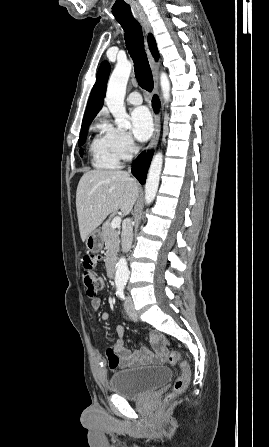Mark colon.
<instances>
[{"mask_svg": "<svg viewBox=\"0 0 269 447\" xmlns=\"http://www.w3.org/2000/svg\"><path fill=\"white\" fill-rule=\"evenodd\" d=\"M84 261L82 263V283L85 287V294L87 298H95L99 290L103 289V280L97 276L94 271L102 270L101 254L100 253H85ZM106 357L108 368L112 372H117L120 369V358L118 354L112 349H106ZM167 362L170 365H179V375L174 381L172 390L167 394L165 401L171 402L177 394L182 393L186 387L190 385V368L188 362L183 359L182 354L175 351H170L167 355Z\"/></svg>", "mask_w": 269, "mask_h": 447, "instance_id": "5ec220e1", "label": "colon"}]
</instances>
